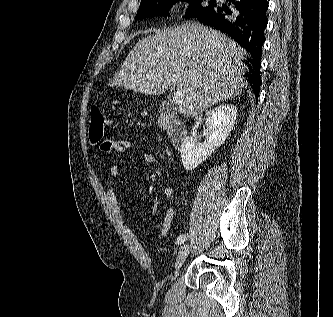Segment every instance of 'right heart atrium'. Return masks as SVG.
<instances>
[{
  "label": "right heart atrium",
  "instance_id": "obj_1",
  "mask_svg": "<svg viewBox=\"0 0 333 317\" xmlns=\"http://www.w3.org/2000/svg\"><path fill=\"white\" fill-rule=\"evenodd\" d=\"M185 4L181 0H172L168 4V11L172 14H180L184 11Z\"/></svg>",
  "mask_w": 333,
  "mask_h": 317
}]
</instances>
